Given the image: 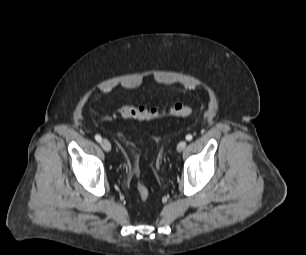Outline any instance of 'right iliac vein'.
Instances as JSON below:
<instances>
[{
  "mask_svg": "<svg viewBox=\"0 0 306 255\" xmlns=\"http://www.w3.org/2000/svg\"><path fill=\"white\" fill-rule=\"evenodd\" d=\"M100 144H101V147H102L106 152H110V150H111V144H110V142H109L108 140L103 139V140H101Z\"/></svg>",
  "mask_w": 306,
  "mask_h": 255,
  "instance_id": "right-iliac-vein-1",
  "label": "right iliac vein"
}]
</instances>
